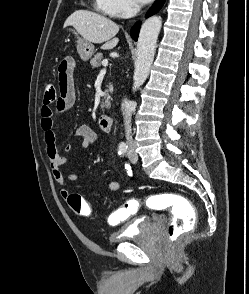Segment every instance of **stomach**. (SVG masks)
I'll use <instances>...</instances> for the list:
<instances>
[{"mask_svg": "<svg viewBox=\"0 0 249 294\" xmlns=\"http://www.w3.org/2000/svg\"><path fill=\"white\" fill-rule=\"evenodd\" d=\"M77 52L83 61H88L94 53V45L85 39L78 38Z\"/></svg>", "mask_w": 249, "mask_h": 294, "instance_id": "stomach-1", "label": "stomach"}]
</instances>
